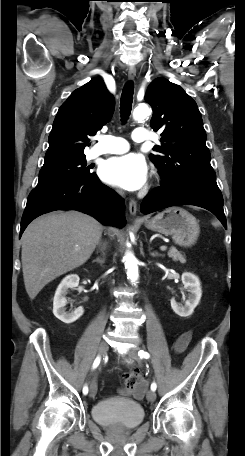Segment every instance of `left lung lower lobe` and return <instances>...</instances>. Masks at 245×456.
Segmentation results:
<instances>
[{
  "mask_svg": "<svg viewBox=\"0 0 245 456\" xmlns=\"http://www.w3.org/2000/svg\"><path fill=\"white\" fill-rule=\"evenodd\" d=\"M161 187L144 198L140 210L152 213L177 205H195L211 211L224 225L223 197L217 185L206 182H183L162 179Z\"/></svg>",
  "mask_w": 245,
  "mask_h": 456,
  "instance_id": "0a47b994",
  "label": "left lung lower lobe"
}]
</instances>
